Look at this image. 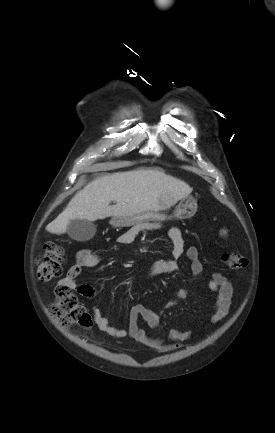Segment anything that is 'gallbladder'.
Returning <instances> with one entry per match:
<instances>
[{
	"mask_svg": "<svg viewBox=\"0 0 275 433\" xmlns=\"http://www.w3.org/2000/svg\"><path fill=\"white\" fill-rule=\"evenodd\" d=\"M96 233V225L88 220H71L67 226V234L76 241H89Z\"/></svg>",
	"mask_w": 275,
	"mask_h": 433,
	"instance_id": "1",
	"label": "gallbladder"
}]
</instances>
